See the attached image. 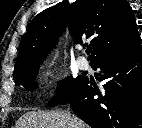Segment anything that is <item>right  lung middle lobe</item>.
Returning a JSON list of instances; mask_svg holds the SVG:
<instances>
[{"label": "right lung middle lobe", "instance_id": "obj_1", "mask_svg": "<svg viewBox=\"0 0 142 128\" xmlns=\"http://www.w3.org/2000/svg\"><path fill=\"white\" fill-rule=\"evenodd\" d=\"M43 60L32 61L20 67H16L13 73V78L16 85H22L29 91L34 90L37 85L34 83L40 64ZM84 77L78 76L76 78L67 77L60 82V87L57 89L56 95L49 103V106L54 107L58 103L67 104L79 89Z\"/></svg>", "mask_w": 142, "mask_h": 128}]
</instances>
